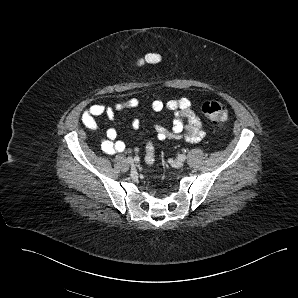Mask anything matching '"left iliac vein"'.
I'll return each mask as SVG.
<instances>
[{
	"instance_id": "obj_1",
	"label": "left iliac vein",
	"mask_w": 298,
	"mask_h": 298,
	"mask_svg": "<svg viewBox=\"0 0 298 298\" xmlns=\"http://www.w3.org/2000/svg\"><path fill=\"white\" fill-rule=\"evenodd\" d=\"M171 165L175 168H182L184 163L180 160H174L171 162Z\"/></svg>"
}]
</instances>
